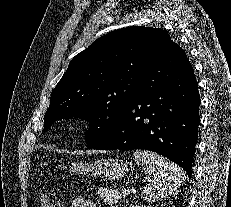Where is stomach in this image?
Returning <instances> with one entry per match:
<instances>
[{"label": "stomach", "mask_w": 231, "mask_h": 207, "mask_svg": "<svg viewBox=\"0 0 231 207\" xmlns=\"http://www.w3.org/2000/svg\"><path fill=\"white\" fill-rule=\"evenodd\" d=\"M70 172L86 175L89 172L93 176L102 179H119L128 172L127 163L118 159H101L95 160L93 163L73 162L70 167Z\"/></svg>", "instance_id": "stomach-1"}]
</instances>
